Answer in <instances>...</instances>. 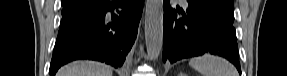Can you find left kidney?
<instances>
[{
  "label": "left kidney",
  "instance_id": "5707ae66",
  "mask_svg": "<svg viewBox=\"0 0 287 76\" xmlns=\"http://www.w3.org/2000/svg\"><path fill=\"white\" fill-rule=\"evenodd\" d=\"M179 76H187V75L184 73H180Z\"/></svg>",
  "mask_w": 287,
  "mask_h": 76
}]
</instances>
